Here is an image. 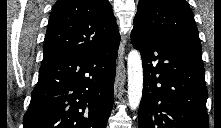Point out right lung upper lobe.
Returning a JSON list of instances; mask_svg holds the SVG:
<instances>
[{"label": "right lung upper lobe", "instance_id": "1", "mask_svg": "<svg viewBox=\"0 0 221 128\" xmlns=\"http://www.w3.org/2000/svg\"><path fill=\"white\" fill-rule=\"evenodd\" d=\"M118 40L108 0H58L50 13L42 64L69 54L94 52Z\"/></svg>", "mask_w": 221, "mask_h": 128}]
</instances>
